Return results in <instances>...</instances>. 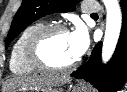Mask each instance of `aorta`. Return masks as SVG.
<instances>
[{
  "label": "aorta",
  "instance_id": "762f6f07",
  "mask_svg": "<svg viewBox=\"0 0 127 92\" xmlns=\"http://www.w3.org/2000/svg\"><path fill=\"white\" fill-rule=\"evenodd\" d=\"M106 7V29L102 47V60L108 62L112 57L122 26V13L118 0H103Z\"/></svg>",
  "mask_w": 127,
  "mask_h": 92
}]
</instances>
